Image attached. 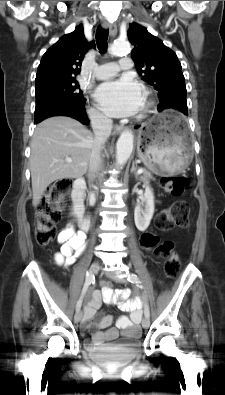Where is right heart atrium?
Returning <instances> with one entry per match:
<instances>
[{"label":"right heart atrium","instance_id":"d8ad5b80","mask_svg":"<svg viewBox=\"0 0 225 395\" xmlns=\"http://www.w3.org/2000/svg\"><path fill=\"white\" fill-rule=\"evenodd\" d=\"M89 115L95 121H105L106 120V117L104 116V114L102 112H100L99 109L96 108L95 106H93L89 109Z\"/></svg>","mask_w":225,"mask_h":395}]
</instances>
